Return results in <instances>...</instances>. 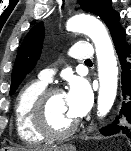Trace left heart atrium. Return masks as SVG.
<instances>
[{"instance_id": "left-heart-atrium-1", "label": "left heart atrium", "mask_w": 131, "mask_h": 151, "mask_svg": "<svg viewBox=\"0 0 131 151\" xmlns=\"http://www.w3.org/2000/svg\"><path fill=\"white\" fill-rule=\"evenodd\" d=\"M65 96L69 112L75 119L82 117L90 107L91 93L83 81L73 82Z\"/></svg>"}]
</instances>
